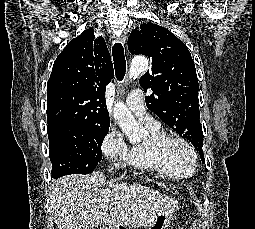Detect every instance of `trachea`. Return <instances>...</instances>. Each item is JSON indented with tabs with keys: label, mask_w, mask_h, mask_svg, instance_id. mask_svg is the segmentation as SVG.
Returning a JSON list of instances; mask_svg holds the SVG:
<instances>
[{
	"label": "trachea",
	"mask_w": 255,
	"mask_h": 229,
	"mask_svg": "<svg viewBox=\"0 0 255 229\" xmlns=\"http://www.w3.org/2000/svg\"><path fill=\"white\" fill-rule=\"evenodd\" d=\"M112 56L116 78L119 81H122L126 73V60L124 56V49L121 43H115L113 45Z\"/></svg>",
	"instance_id": "1"
}]
</instances>
